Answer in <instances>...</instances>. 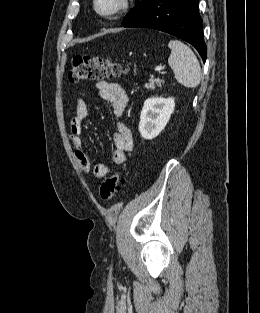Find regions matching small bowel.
I'll return each mask as SVG.
<instances>
[{"mask_svg": "<svg viewBox=\"0 0 260 313\" xmlns=\"http://www.w3.org/2000/svg\"><path fill=\"white\" fill-rule=\"evenodd\" d=\"M96 87L99 96L112 105L115 116L120 118L129 101L124 88L117 83L108 81H100ZM88 117L87 104L84 98L80 97L76 103L75 115L70 120L71 143L80 169L86 174L103 178L110 172L111 168L104 164H92L83 148L82 128ZM112 142L111 159L113 163L117 165L124 164L126 162V153L133 149V138L131 131L123 122L118 123L117 131L112 135Z\"/></svg>", "mask_w": 260, "mask_h": 313, "instance_id": "small-bowel-1", "label": "small bowel"}]
</instances>
